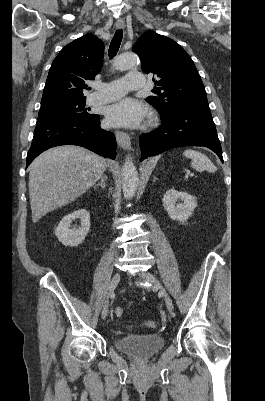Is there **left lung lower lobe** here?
Segmentation results:
<instances>
[{"instance_id": "1", "label": "left lung lower lobe", "mask_w": 265, "mask_h": 401, "mask_svg": "<svg viewBox=\"0 0 265 401\" xmlns=\"http://www.w3.org/2000/svg\"><path fill=\"white\" fill-rule=\"evenodd\" d=\"M158 129L139 137L141 160L181 146H204L223 162L220 141L209 108L187 107L161 115Z\"/></svg>"}]
</instances>
